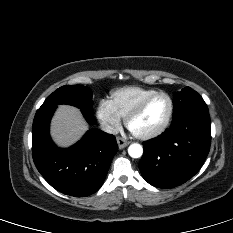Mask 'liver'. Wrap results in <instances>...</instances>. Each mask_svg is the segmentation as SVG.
<instances>
[{
    "mask_svg": "<svg viewBox=\"0 0 233 233\" xmlns=\"http://www.w3.org/2000/svg\"><path fill=\"white\" fill-rule=\"evenodd\" d=\"M87 129L88 125L80 110L68 105H60L51 122V136L60 147L74 144Z\"/></svg>",
    "mask_w": 233,
    "mask_h": 233,
    "instance_id": "6515ba94",
    "label": "liver"
}]
</instances>
